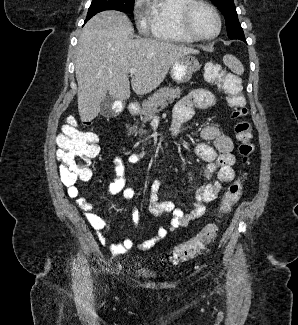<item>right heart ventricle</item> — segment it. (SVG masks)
<instances>
[{
	"mask_svg": "<svg viewBox=\"0 0 298 325\" xmlns=\"http://www.w3.org/2000/svg\"><path fill=\"white\" fill-rule=\"evenodd\" d=\"M188 0H154L147 2L149 23L153 35L158 41H179L181 46L191 45L195 41L183 35L176 28L178 9Z\"/></svg>",
	"mask_w": 298,
	"mask_h": 325,
	"instance_id": "e07e8e85",
	"label": "right heart ventricle"
}]
</instances>
